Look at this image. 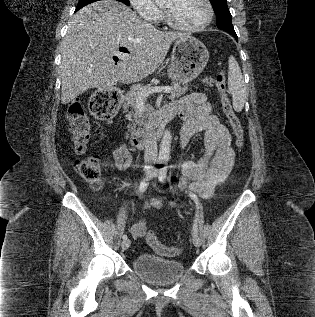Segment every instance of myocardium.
Listing matches in <instances>:
<instances>
[{
  "label": "myocardium",
  "instance_id": "myocardium-1",
  "mask_svg": "<svg viewBox=\"0 0 315 317\" xmlns=\"http://www.w3.org/2000/svg\"><path fill=\"white\" fill-rule=\"evenodd\" d=\"M203 2H204L206 9H207V15H206L205 20L199 25H195V26L181 25V24L175 22L166 10H164V19L170 27H172L173 29H176V30L185 31V32L201 31L209 26V24L211 23V21L213 19V15H214V10H213V6L211 4V1L210 0H203Z\"/></svg>",
  "mask_w": 315,
  "mask_h": 317
}]
</instances>
